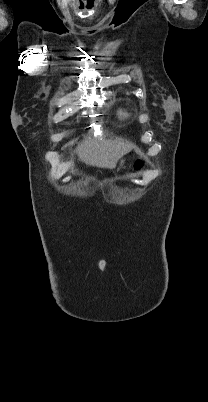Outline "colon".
I'll use <instances>...</instances> for the list:
<instances>
[{
  "instance_id": "colon-1",
  "label": "colon",
  "mask_w": 208,
  "mask_h": 402,
  "mask_svg": "<svg viewBox=\"0 0 208 402\" xmlns=\"http://www.w3.org/2000/svg\"><path fill=\"white\" fill-rule=\"evenodd\" d=\"M133 167L136 171L142 170L145 167V162L141 159H138L135 161Z\"/></svg>"
}]
</instances>
